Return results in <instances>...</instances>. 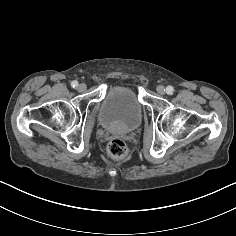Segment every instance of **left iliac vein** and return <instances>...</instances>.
<instances>
[{
    "mask_svg": "<svg viewBox=\"0 0 236 236\" xmlns=\"http://www.w3.org/2000/svg\"><path fill=\"white\" fill-rule=\"evenodd\" d=\"M156 90H157V92H158L160 95H164V94H165V87H164L163 85L157 86Z\"/></svg>",
    "mask_w": 236,
    "mask_h": 236,
    "instance_id": "obj_1",
    "label": "left iliac vein"
}]
</instances>
